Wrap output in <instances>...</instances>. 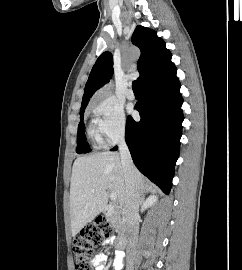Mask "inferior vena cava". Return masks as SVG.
I'll return each mask as SVG.
<instances>
[{
	"label": "inferior vena cava",
	"instance_id": "602c4592",
	"mask_svg": "<svg viewBox=\"0 0 242 270\" xmlns=\"http://www.w3.org/2000/svg\"><path fill=\"white\" fill-rule=\"evenodd\" d=\"M121 164L124 171V177L128 186V191L125 200V210H124V221L128 225L131 231V237L129 240L128 249V264L131 266L133 264L132 253L135 250L138 241V231H139V204H140V194L134 182L135 166L131 159V155L128 146L122 137L118 144Z\"/></svg>",
	"mask_w": 242,
	"mask_h": 270
}]
</instances>
